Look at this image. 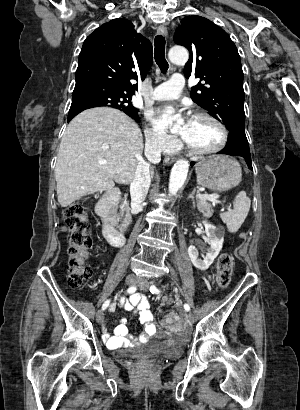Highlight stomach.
Instances as JSON below:
<instances>
[{"instance_id": "1", "label": "stomach", "mask_w": 300, "mask_h": 410, "mask_svg": "<svg viewBox=\"0 0 300 410\" xmlns=\"http://www.w3.org/2000/svg\"><path fill=\"white\" fill-rule=\"evenodd\" d=\"M197 182L213 191H225L237 186L242 178L239 163L224 155L211 156L196 166Z\"/></svg>"}]
</instances>
